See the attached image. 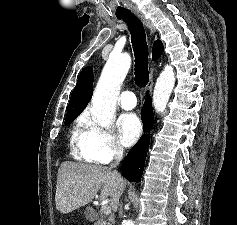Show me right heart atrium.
Masks as SVG:
<instances>
[{
  "label": "right heart atrium",
  "mask_w": 237,
  "mask_h": 225,
  "mask_svg": "<svg viewBox=\"0 0 237 225\" xmlns=\"http://www.w3.org/2000/svg\"><path fill=\"white\" fill-rule=\"evenodd\" d=\"M83 122L81 150L88 161L108 164L123 156L124 149L112 132L99 126L88 116L83 117Z\"/></svg>",
  "instance_id": "obj_1"
}]
</instances>
